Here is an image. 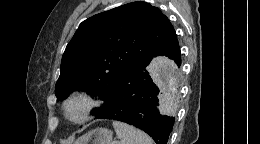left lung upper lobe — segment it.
<instances>
[{"label": "left lung upper lobe", "instance_id": "left-lung-upper-lobe-1", "mask_svg": "<svg viewBox=\"0 0 260 144\" xmlns=\"http://www.w3.org/2000/svg\"><path fill=\"white\" fill-rule=\"evenodd\" d=\"M176 38L169 19L147 2L128 3L83 21L62 57L55 95L61 99L85 90L104 101L96 117L111 102L122 76L152 58Z\"/></svg>", "mask_w": 260, "mask_h": 144}]
</instances>
